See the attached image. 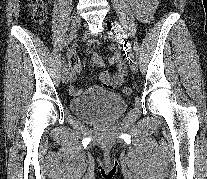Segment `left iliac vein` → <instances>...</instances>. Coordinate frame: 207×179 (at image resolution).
<instances>
[{"label": "left iliac vein", "instance_id": "4c4485c4", "mask_svg": "<svg viewBox=\"0 0 207 179\" xmlns=\"http://www.w3.org/2000/svg\"><path fill=\"white\" fill-rule=\"evenodd\" d=\"M104 27L107 28L108 30H112L113 29V26L110 25L109 23H105ZM104 36L106 38H109V39L113 38V35L111 33H109V32H107ZM130 61H131V64H130L131 71L133 73H137V69H138L137 60L134 57V60H131V58H130Z\"/></svg>", "mask_w": 207, "mask_h": 179}]
</instances>
